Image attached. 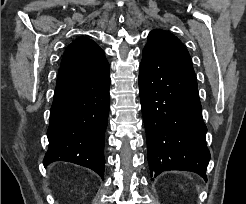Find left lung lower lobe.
<instances>
[{
    "instance_id": "obj_1",
    "label": "left lung lower lobe",
    "mask_w": 246,
    "mask_h": 204,
    "mask_svg": "<svg viewBox=\"0 0 246 204\" xmlns=\"http://www.w3.org/2000/svg\"><path fill=\"white\" fill-rule=\"evenodd\" d=\"M139 91L151 176L183 170L207 181V127L192 65L144 48Z\"/></svg>"
}]
</instances>
